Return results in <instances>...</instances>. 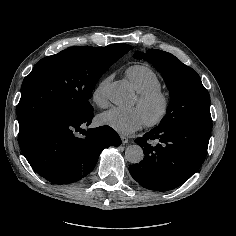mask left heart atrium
Masks as SVG:
<instances>
[{"label":"left heart atrium","mask_w":236,"mask_h":236,"mask_svg":"<svg viewBox=\"0 0 236 236\" xmlns=\"http://www.w3.org/2000/svg\"><path fill=\"white\" fill-rule=\"evenodd\" d=\"M101 124L121 135H130L145 125V118L138 108L122 109L112 107L99 116Z\"/></svg>","instance_id":"left-heart-atrium-1"}]
</instances>
